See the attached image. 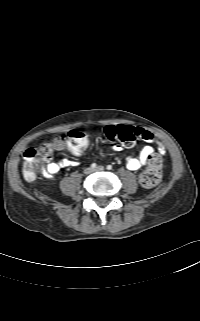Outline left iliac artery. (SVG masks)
Wrapping results in <instances>:
<instances>
[{
  "instance_id": "obj_1",
  "label": "left iliac artery",
  "mask_w": 200,
  "mask_h": 321,
  "mask_svg": "<svg viewBox=\"0 0 200 321\" xmlns=\"http://www.w3.org/2000/svg\"><path fill=\"white\" fill-rule=\"evenodd\" d=\"M107 169H108V170H111V169H112V166H111V165H108V166H107Z\"/></svg>"
}]
</instances>
